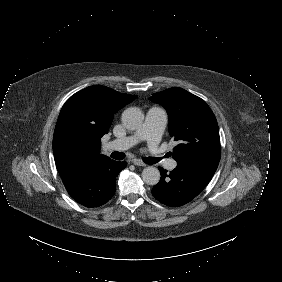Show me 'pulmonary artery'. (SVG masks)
<instances>
[{"instance_id":"pulmonary-artery-1","label":"pulmonary artery","mask_w":282,"mask_h":282,"mask_svg":"<svg viewBox=\"0 0 282 282\" xmlns=\"http://www.w3.org/2000/svg\"><path fill=\"white\" fill-rule=\"evenodd\" d=\"M167 123L166 111L159 107H152L148 110L143 124L134 132L133 135L124 139H117L112 142V145H119L123 149L130 148L141 141H147L151 148H154ZM176 166L175 161H171L169 168Z\"/></svg>"}]
</instances>
